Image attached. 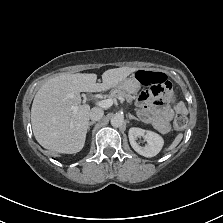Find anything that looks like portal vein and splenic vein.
<instances>
[{
	"label": "portal vein and splenic vein",
	"instance_id": "18ae733b",
	"mask_svg": "<svg viewBox=\"0 0 223 223\" xmlns=\"http://www.w3.org/2000/svg\"><path fill=\"white\" fill-rule=\"evenodd\" d=\"M119 101H124V98H119ZM97 105L102 107V108L107 109V108H109L113 105V100L111 98L106 99V100H102V101H99L97 103ZM71 109H72V113L75 115L77 113L78 107L72 106Z\"/></svg>",
	"mask_w": 223,
	"mask_h": 223
}]
</instances>
